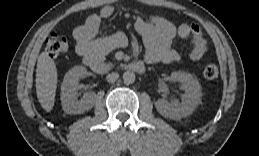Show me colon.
Listing matches in <instances>:
<instances>
[{
  "mask_svg": "<svg viewBox=\"0 0 259 156\" xmlns=\"http://www.w3.org/2000/svg\"><path fill=\"white\" fill-rule=\"evenodd\" d=\"M70 46L69 40L57 33H50L46 38L45 50L51 57H57L68 51ZM218 67L215 64H208L203 70L207 79H214L218 76Z\"/></svg>",
  "mask_w": 259,
  "mask_h": 156,
  "instance_id": "obj_1",
  "label": "colon"
}]
</instances>
